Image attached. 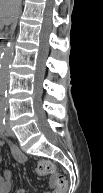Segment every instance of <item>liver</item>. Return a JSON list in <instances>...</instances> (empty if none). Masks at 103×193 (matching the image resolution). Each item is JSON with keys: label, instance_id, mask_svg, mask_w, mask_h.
I'll return each mask as SVG.
<instances>
[{"label": "liver", "instance_id": "liver-1", "mask_svg": "<svg viewBox=\"0 0 103 193\" xmlns=\"http://www.w3.org/2000/svg\"><path fill=\"white\" fill-rule=\"evenodd\" d=\"M19 6L20 0H0V16L2 21L6 24L10 23Z\"/></svg>", "mask_w": 103, "mask_h": 193}]
</instances>
